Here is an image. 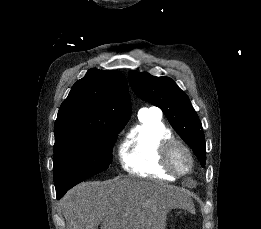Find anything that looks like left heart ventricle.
I'll list each match as a JSON object with an SVG mask.
<instances>
[{"mask_svg": "<svg viewBox=\"0 0 261 229\" xmlns=\"http://www.w3.org/2000/svg\"><path fill=\"white\" fill-rule=\"evenodd\" d=\"M173 162L178 169H185L188 166L186 153L182 149H176L173 154Z\"/></svg>", "mask_w": 261, "mask_h": 229, "instance_id": "obj_1", "label": "left heart ventricle"}]
</instances>
